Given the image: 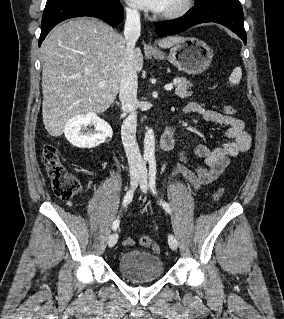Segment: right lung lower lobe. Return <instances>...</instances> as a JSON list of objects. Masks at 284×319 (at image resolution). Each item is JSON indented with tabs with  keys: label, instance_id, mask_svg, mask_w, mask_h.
<instances>
[{
	"label": "right lung lower lobe",
	"instance_id": "right-lung-lower-lobe-1",
	"mask_svg": "<svg viewBox=\"0 0 284 319\" xmlns=\"http://www.w3.org/2000/svg\"><path fill=\"white\" fill-rule=\"evenodd\" d=\"M79 16L96 17L112 26H116L123 20V8L119 0L115 3L75 1L62 3L44 10L39 46L55 25L63 20Z\"/></svg>",
	"mask_w": 284,
	"mask_h": 319
}]
</instances>
